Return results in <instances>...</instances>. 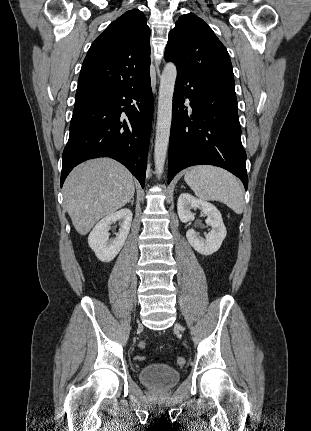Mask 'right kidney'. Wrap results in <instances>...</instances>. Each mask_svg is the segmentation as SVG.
I'll list each match as a JSON object with an SVG mask.
<instances>
[{"label":"right kidney","mask_w":311,"mask_h":431,"mask_svg":"<svg viewBox=\"0 0 311 431\" xmlns=\"http://www.w3.org/2000/svg\"><path fill=\"white\" fill-rule=\"evenodd\" d=\"M132 212L128 208H123V210H118L114 214H108V216L100 219L93 227L92 231L89 233L88 243L95 251L98 259L101 261H111L122 249L125 239L130 231ZM119 221L120 229L119 233H116L114 239H109L111 223Z\"/></svg>","instance_id":"right-kidney-1"}]
</instances>
